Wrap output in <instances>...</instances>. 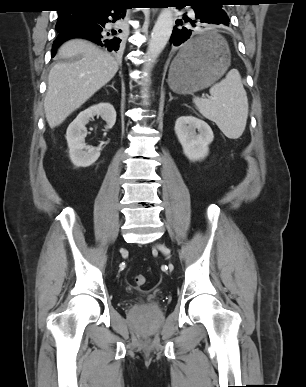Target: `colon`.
I'll return each instance as SVG.
<instances>
[{"label": "colon", "instance_id": "colon-1", "mask_svg": "<svg viewBox=\"0 0 306 387\" xmlns=\"http://www.w3.org/2000/svg\"><path fill=\"white\" fill-rule=\"evenodd\" d=\"M146 282V278L144 275H136L134 277V284L137 286V287H142Z\"/></svg>", "mask_w": 306, "mask_h": 387}]
</instances>
